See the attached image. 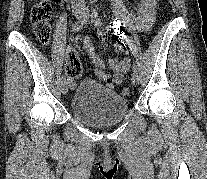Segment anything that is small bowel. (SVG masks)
I'll use <instances>...</instances> for the list:
<instances>
[{"label": "small bowel", "mask_w": 207, "mask_h": 179, "mask_svg": "<svg viewBox=\"0 0 207 179\" xmlns=\"http://www.w3.org/2000/svg\"><path fill=\"white\" fill-rule=\"evenodd\" d=\"M155 7L156 0H140L136 14L132 20L128 18L123 23H132V26L140 32H148L155 21ZM119 25V23H116ZM121 28V26H120ZM83 47L90 59L95 65L94 75L97 79L104 81L105 87L109 90H113L115 86L123 82L124 74L130 67V60L126 58H111L109 59V65L113 70V75H109L104 71L105 63L103 58L96 52L91 39L85 37L83 39ZM115 48L118 51H124V45L116 43ZM70 86L73 87V81H69Z\"/></svg>", "instance_id": "c3829d8e"}]
</instances>
